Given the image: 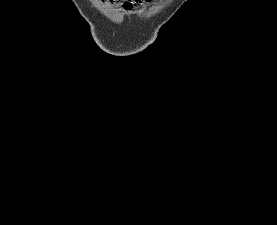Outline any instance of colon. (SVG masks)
<instances>
[{"label": "colon", "mask_w": 277, "mask_h": 225, "mask_svg": "<svg viewBox=\"0 0 277 225\" xmlns=\"http://www.w3.org/2000/svg\"><path fill=\"white\" fill-rule=\"evenodd\" d=\"M118 1H119V0H102V2H104V3H107V2H109V3H115V2H118ZM125 6L129 7L130 4H129V3H126Z\"/></svg>", "instance_id": "colon-1"}]
</instances>
